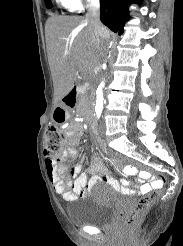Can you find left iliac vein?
<instances>
[{"instance_id": "4c4485c4", "label": "left iliac vein", "mask_w": 183, "mask_h": 246, "mask_svg": "<svg viewBox=\"0 0 183 246\" xmlns=\"http://www.w3.org/2000/svg\"><path fill=\"white\" fill-rule=\"evenodd\" d=\"M105 130H106V126H105V122L103 120L102 123H101V127H100V132H101L102 135H104Z\"/></svg>"}]
</instances>
